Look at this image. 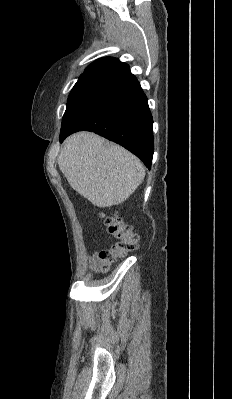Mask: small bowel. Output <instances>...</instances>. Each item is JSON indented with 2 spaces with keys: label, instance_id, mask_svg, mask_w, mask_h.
Listing matches in <instances>:
<instances>
[{
  "label": "small bowel",
  "instance_id": "small-bowel-1",
  "mask_svg": "<svg viewBox=\"0 0 232 399\" xmlns=\"http://www.w3.org/2000/svg\"><path fill=\"white\" fill-rule=\"evenodd\" d=\"M87 267H88L89 269H91V268L93 267V260H92V259H89V260H88V262H87Z\"/></svg>",
  "mask_w": 232,
  "mask_h": 399
}]
</instances>
